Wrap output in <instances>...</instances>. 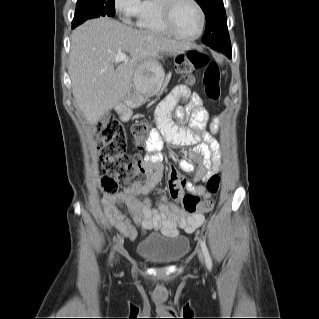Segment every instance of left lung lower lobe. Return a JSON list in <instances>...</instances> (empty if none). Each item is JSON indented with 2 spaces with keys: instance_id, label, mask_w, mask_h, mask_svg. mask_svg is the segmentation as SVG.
I'll return each instance as SVG.
<instances>
[{
  "instance_id": "1",
  "label": "left lung lower lobe",
  "mask_w": 319,
  "mask_h": 319,
  "mask_svg": "<svg viewBox=\"0 0 319 319\" xmlns=\"http://www.w3.org/2000/svg\"><path fill=\"white\" fill-rule=\"evenodd\" d=\"M222 53H224L225 55H227L229 58H231V46L228 48H224L222 50Z\"/></svg>"
}]
</instances>
